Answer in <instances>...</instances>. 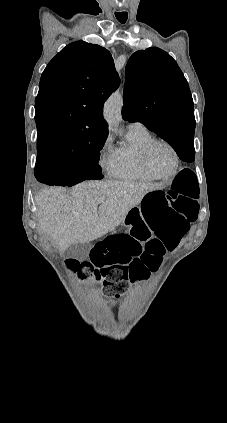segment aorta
<instances>
[{"label": "aorta", "instance_id": "1", "mask_svg": "<svg viewBox=\"0 0 227 423\" xmlns=\"http://www.w3.org/2000/svg\"><path fill=\"white\" fill-rule=\"evenodd\" d=\"M122 106L123 99L119 91L113 93L105 102L103 116L109 130L112 132L117 130L118 124L122 119Z\"/></svg>", "mask_w": 227, "mask_h": 423}]
</instances>
